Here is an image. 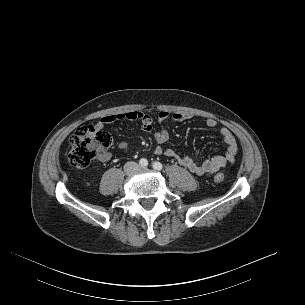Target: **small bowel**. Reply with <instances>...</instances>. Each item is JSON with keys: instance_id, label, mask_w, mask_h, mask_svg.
Returning a JSON list of instances; mask_svg holds the SVG:
<instances>
[{"instance_id": "small-bowel-1", "label": "small bowel", "mask_w": 305, "mask_h": 305, "mask_svg": "<svg viewBox=\"0 0 305 305\" xmlns=\"http://www.w3.org/2000/svg\"><path fill=\"white\" fill-rule=\"evenodd\" d=\"M192 116L188 113H170L168 111H160L158 115L153 118L151 115L141 111H127L117 114H110L102 117L95 124V128L100 130L107 125L116 121H139L142 129L150 134L158 146L155 147L154 153L157 155H165L166 157L175 159L181 166L187 168L190 172L198 176H209L219 169L225 167L228 163L232 164L238 152V144L236 138L227 127H220L218 133L225 143V150L223 154L215 155L205 159L202 162H196L189 155H179L171 148H163L161 144L169 139V133L164 127L170 121L184 122L191 119ZM205 124L208 128H216L218 122L213 118H207ZM118 149L121 151H128L129 146L125 141L118 143ZM111 157L110 153H104L100 156L102 161H107Z\"/></svg>"}]
</instances>
